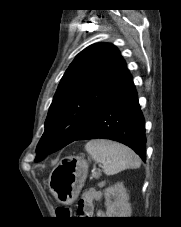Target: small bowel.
I'll return each mask as SVG.
<instances>
[{
    "label": "small bowel",
    "mask_w": 181,
    "mask_h": 227,
    "mask_svg": "<svg viewBox=\"0 0 181 227\" xmlns=\"http://www.w3.org/2000/svg\"><path fill=\"white\" fill-rule=\"evenodd\" d=\"M102 200V192L90 189L86 191L78 202L77 214L84 217H102L105 212L98 210L95 212L94 203Z\"/></svg>",
    "instance_id": "small-bowel-1"
}]
</instances>
